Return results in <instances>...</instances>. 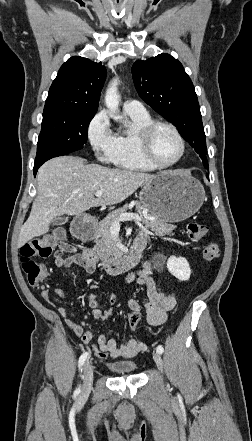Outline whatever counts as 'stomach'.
<instances>
[{
  "label": "stomach",
  "instance_id": "obj_1",
  "mask_svg": "<svg viewBox=\"0 0 252 441\" xmlns=\"http://www.w3.org/2000/svg\"><path fill=\"white\" fill-rule=\"evenodd\" d=\"M150 215L164 222H180L194 215L202 206V184L182 171H166L146 182L139 194Z\"/></svg>",
  "mask_w": 252,
  "mask_h": 441
}]
</instances>
